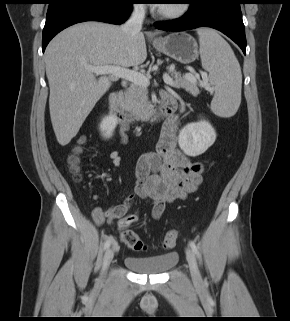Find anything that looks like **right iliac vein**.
Segmentation results:
<instances>
[{
  "label": "right iliac vein",
  "mask_w": 290,
  "mask_h": 321,
  "mask_svg": "<svg viewBox=\"0 0 290 321\" xmlns=\"http://www.w3.org/2000/svg\"><path fill=\"white\" fill-rule=\"evenodd\" d=\"M113 256H114V249L108 248L106 250L104 258H103L100 282H102V280L104 279L105 272H106L107 268L109 267V265L113 259Z\"/></svg>",
  "instance_id": "obj_1"
}]
</instances>
